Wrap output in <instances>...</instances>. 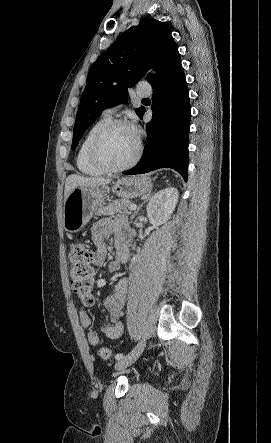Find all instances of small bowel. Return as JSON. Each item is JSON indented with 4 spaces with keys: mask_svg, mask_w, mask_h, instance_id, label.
<instances>
[{
    "mask_svg": "<svg viewBox=\"0 0 271 443\" xmlns=\"http://www.w3.org/2000/svg\"><path fill=\"white\" fill-rule=\"evenodd\" d=\"M110 237L115 238L116 255L111 264L113 270L118 269L129 258L127 248V237L124 230L118 225L114 224L110 219H100L92 228V239L96 245V254L94 263L97 267L102 266L106 258V240ZM128 290V281L126 278L118 279L114 290L104 300V308L107 311L110 319V324L101 328V334L108 339H118L123 333V324L120 320L121 313L125 303V297ZM80 323L87 331L88 341L92 345H97L101 342V336L98 332L93 330L92 321L85 309L81 308L79 312Z\"/></svg>",
    "mask_w": 271,
    "mask_h": 443,
    "instance_id": "1",
    "label": "small bowel"
}]
</instances>
